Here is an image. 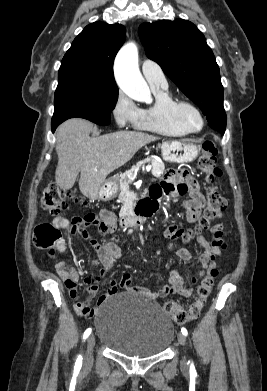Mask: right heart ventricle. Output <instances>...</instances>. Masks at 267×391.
I'll list each match as a JSON object with an SVG mask.
<instances>
[{
    "label": "right heart ventricle",
    "instance_id": "e07e8e85",
    "mask_svg": "<svg viewBox=\"0 0 267 391\" xmlns=\"http://www.w3.org/2000/svg\"><path fill=\"white\" fill-rule=\"evenodd\" d=\"M155 100L152 104L140 109L135 127L164 136L180 137L188 132L180 126L172 115L175 98L168 87H151Z\"/></svg>",
    "mask_w": 267,
    "mask_h": 391
}]
</instances>
